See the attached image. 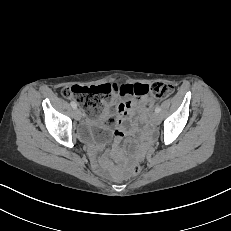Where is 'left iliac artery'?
I'll list each match as a JSON object with an SVG mask.
<instances>
[{
	"mask_svg": "<svg viewBox=\"0 0 231 231\" xmlns=\"http://www.w3.org/2000/svg\"><path fill=\"white\" fill-rule=\"evenodd\" d=\"M160 111H161V108H160L159 106H157V107L155 108V112L159 113Z\"/></svg>",
	"mask_w": 231,
	"mask_h": 231,
	"instance_id": "44dca946",
	"label": "left iliac artery"
}]
</instances>
